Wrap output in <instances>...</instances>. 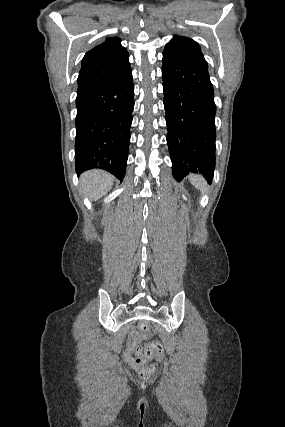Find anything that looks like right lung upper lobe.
<instances>
[{
  "label": "right lung upper lobe",
  "instance_id": "right-lung-upper-lobe-1",
  "mask_svg": "<svg viewBox=\"0 0 285 427\" xmlns=\"http://www.w3.org/2000/svg\"><path fill=\"white\" fill-rule=\"evenodd\" d=\"M128 59L129 54L118 37L109 38L94 47L82 60V68L77 80L78 90L127 75L131 71Z\"/></svg>",
  "mask_w": 285,
  "mask_h": 427
}]
</instances>
